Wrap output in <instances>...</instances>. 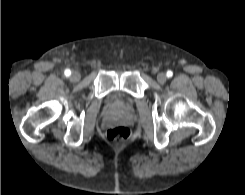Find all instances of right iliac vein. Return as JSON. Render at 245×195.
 Wrapping results in <instances>:
<instances>
[{"label": "right iliac vein", "instance_id": "obj_1", "mask_svg": "<svg viewBox=\"0 0 245 195\" xmlns=\"http://www.w3.org/2000/svg\"><path fill=\"white\" fill-rule=\"evenodd\" d=\"M80 78H81V75H80V73L78 71H73L71 76H70V80L72 82H77V81L80 80Z\"/></svg>", "mask_w": 245, "mask_h": 195}]
</instances>
